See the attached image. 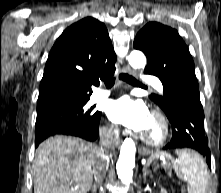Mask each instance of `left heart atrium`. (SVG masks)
Segmentation results:
<instances>
[{
    "mask_svg": "<svg viewBox=\"0 0 221 193\" xmlns=\"http://www.w3.org/2000/svg\"><path fill=\"white\" fill-rule=\"evenodd\" d=\"M110 120L126 127L141 131L147 123L150 112L146 105L130 95L110 100L106 107Z\"/></svg>",
    "mask_w": 221,
    "mask_h": 193,
    "instance_id": "obj_1",
    "label": "left heart atrium"
}]
</instances>
